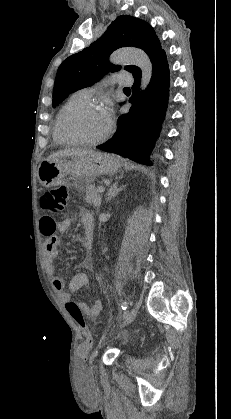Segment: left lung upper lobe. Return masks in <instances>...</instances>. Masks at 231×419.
Returning <instances> with one entry per match:
<instances>
[{"mask_svg":"<svg viewBox=\"0 0 231 419\" xmlns=\"http://www.w3.org/2000/svg\"><path fill=\"white\" fill-rule=\"evenodd\" d=\"M128 46L144 50L151 62L164 51L150 24L132 16L117 17L97 41L69 56L60 65L54 83L53 107L70 93L94 84L108 71L120 69V66L111 65L108 57L114 50ZM124 69L133 76L141 73L138 67L132 65Z\"/></svg>","mask_w":231,"mask_h":419,"instance_id":"5c2ea615","label":"left lung upper lobe"}]
</instances>
